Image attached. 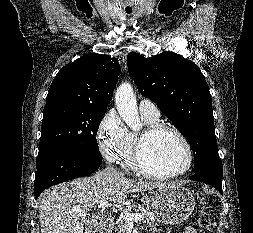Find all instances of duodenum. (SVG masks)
<instances>
[{
  "instance_id": "obj_1",
  "label": "duodenum",
  "mask_w": 253,
  "mask_h": 233,
  "mask_svg": "<svg viewBox=\"0 0 253 233\" xmlns=\"http://www.w3.org/2000/svg\"><path fill=\"white\" fill-rule=\"evenodd\" d=\"M108 226H109L108 220H105L103 223L96 225L93 233H106Z\"/></svg>"
}]
</instances>
